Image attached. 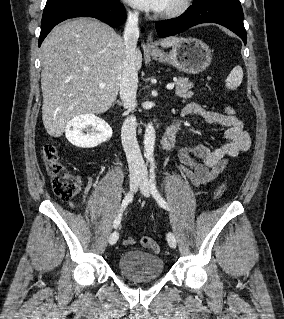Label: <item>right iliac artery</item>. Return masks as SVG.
I'll use <instances>...</instances> for the list:
<instances>
[{
  "label": "right iliac artery",
  "instance_id": "right-iliac-artery-1",
  "mask_svg": "<svg viewBox=\"0 0 284 319\" xmlns=\"http://www.w3.org/2000/svg\"><path fill=\"white\" fill-rule=\"evenodd\" d=\"M132 199H133L132 193H128L125 196V198L123 199L121 207L119 209V213H118L117 217L114 220V228H117L119 226V224L121 222L123 211L128 206V204L132 201Z\"/></svg>",
  "mask_w": 284,
  "mask_h": 319
}]
</instances>
